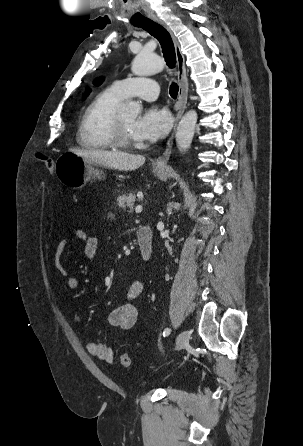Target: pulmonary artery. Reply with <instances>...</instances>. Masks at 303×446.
I'll return each instance as SVG.
<instances>
[{
  "label": "pulmonary artery",
  "instance_id": "1",
  "mask_svg": "<svg viewBox=\"0 0 303 446\" xmlns=\"http://www.w3.org/2000/svg\"><path fill=\"white\" fill-rule=\"evenodd\" d=\"M115 90L124 98L138 97L154 101L159 95V84L146 77L125 78L113 83Z\"/></svg>",
  "mask_w": 303,
  "mask_h": 446
}]
</instances>
